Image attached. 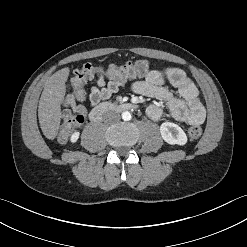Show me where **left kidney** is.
Masks as SVG:
<instances>
[{
    "instance_id": "left-kidney-1",
    "label": "left kidney",
    "mask_w": 247,
    "mask_h": 247,
    "mask_svg": "<svg viewBox=\"0 0 247 247\" xmlns=\"http://www.w3.org/2000/svg\"><path fill=\"white\" fill-rule=\"evenodd\" d=\"M160 133L165 142L171 145H185L187 136L185 132L177 124L172 122H164L160 126Z\"/></svg>"
}]
</instances>
